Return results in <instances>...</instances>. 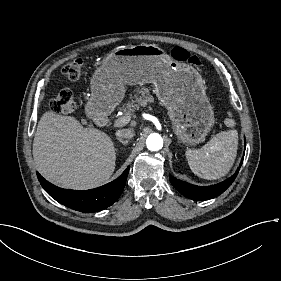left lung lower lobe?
Masks as SVG:
<instances>
[{"label":"left lung lower lobe","mask_w":281,"mask_h":281,"mask_svg":"<svg viewBox=\"0 0 281 281\" xmlns=\"http://www.w3.org/2000/svg\"><path fill=\"white\" fill-rule=\"evenodd\" d=\"M243 158L244 156L242 157L240 166L242 165ZM238 172L239 169L229 179L212 186H195L187 182L178 180L171 175H169V177L171 184L184 196L192 200L204 201L212 199L223 193L232 184Z\"/></svg>","instance_id":"0a47b994"}]
</instances>
